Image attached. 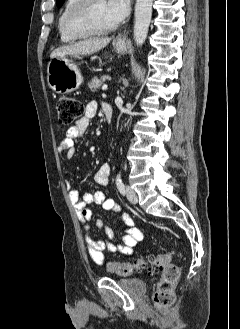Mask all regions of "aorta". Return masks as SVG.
<instances>
[{"label": "aorta", "instance_id": "1", "mask_svg": "<svg viewBox=\"0 0 240 329\" xmlns=\"http://www.w3.org/2000/svg\"><path fill=\"white\" fill-rule=\"evenodd\" d=\"M153 0H136L134 41L137 46H142L147 38L152 16Z\"/></svg>", "mask_w": 240, "mask_h": 329}]
</instances>
